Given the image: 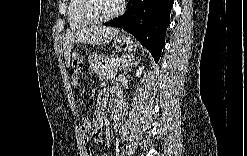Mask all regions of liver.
Segmentation results:
<instances>
[{"mask_svg":"<svg viewBox=\"0 0 247 156\" xmlns=\"http://www.w3.org/2000/svg\"><path fill=\"white\" fill-rule=\"evenodd\" d=\"M119 30L113 27L94 26L68 32L64 38L63 49L66 65L70 66L71 52L74 43L101 45L110 43Z\"/></svg>","mask_w":247,"mask_h":156,"instance_id":"6515ba94","label":"liver"}]
</instances>
